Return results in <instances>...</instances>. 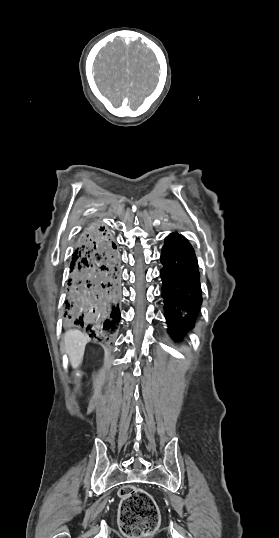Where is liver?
<instances>
[{"label":"liver","mask_w":279,"mask_h":538,"mask_svg":"<svg viewBox=\"0 0 279 538\" xmlns=\"http://www.w3.org/2000/svg\"><path fill=\"white\" fill-rule=\"evenodd\" d=\"M90 338L82 334L80 330H68L64 336V352L68 354L70 364L74 370L79 368L84 352L85 346L88 344Z\"/></svg>","instance_id":"6515ba94"}]
</instances>
